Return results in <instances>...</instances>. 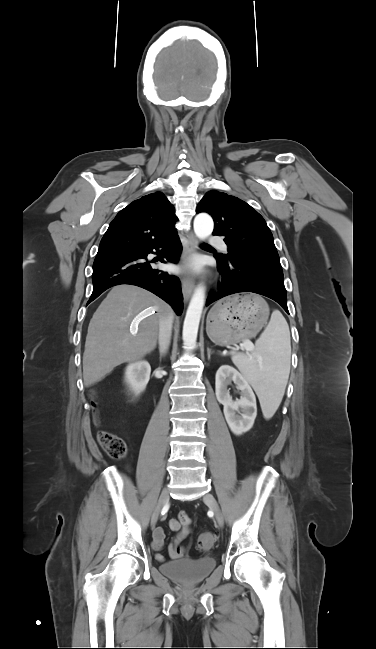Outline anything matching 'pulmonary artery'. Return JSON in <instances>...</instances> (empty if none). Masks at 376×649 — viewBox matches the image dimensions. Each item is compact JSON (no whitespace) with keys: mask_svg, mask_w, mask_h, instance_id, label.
Masks as SVG:
<instances>
[{"mask_svg":"<svg viewBox=\"0 0 376 649\" xmlns=\"http://www.w3.org/2000/svg\"><path fill=\"white\" fill-rule=\"evenodd\" d=\"M208 241H209V243H210L211 245L218 246V247H220V248H222V249H224V250L227 249V246H226V244L224 243V241L222 240V238H220V237H218V236H211V237H209Z\"/></svg>","mask_w":376,"mask_h":649,"instance_id":"obj_1","label":"pulmonary artery"}]
</instances>
